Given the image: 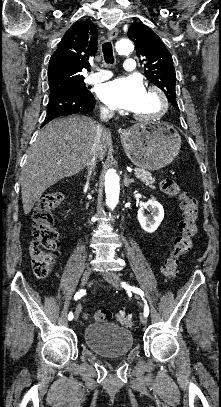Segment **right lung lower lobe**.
<instances>
[{"label":"right lung lower lobe","instance_id":"right-lung-lower-lobe-1","mask_svg":"<svg viewBox=\"0 0 221 407\" xmlns=\"http://www.w3.org/2000/svg\"><path fill=\"white\" fill-rule=\"evenodd\" d=\"M95 107V98L90 94L62 93L49 98L47 114L42 126L51 120L64 116L86 113Z\"/></svg>","mask_w":221,"mask_h":407}]
</instances>
